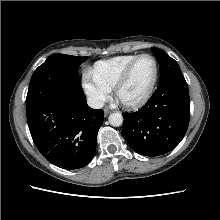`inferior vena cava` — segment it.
<instances>
[{
    "label": "inferior vena cava",
    "mask_w": 220,
    "mask_h": 220,
    "mask_svg": "<svg viewBox=\"0 0 220 220\" xmlns=\"http://www.w3.org/2000/svg\"><path fill=\"white\" fill-rule=\"evenodd\" d=\"M88 105L93 109H101L104 105V102L97 98H88Z\"/></svg>",
    "instance_id": "obj_1"
}]
</instances>
